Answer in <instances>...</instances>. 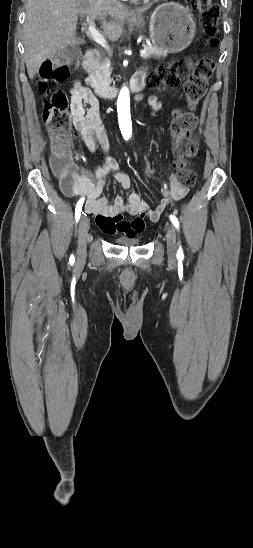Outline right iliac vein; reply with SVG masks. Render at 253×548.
Instances as JSON below:
<instances>
[{
    "instance_id": "1",
    "label": "right iliac vein",
    "mask_w": 253,
    "mask_h": 548,
    "mask_svg": "<svg viewBox=\"0 0 253 548\" xmlns=\"http://www.w3.org/2000/svg\"><path fill=\"white\" fill-rule=\"evenodd\" d=\"M89 231V220L82 216L78 228L77 257L80 261L86 258V238Z\"/></svg>"
}]
</instances>
